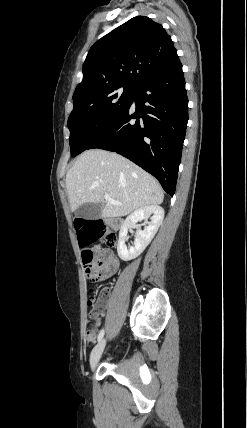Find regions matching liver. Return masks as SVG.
<instances>
[{
  "label": "liver",
  "instance_id": "1",
  "mask_svg": "<svg viewBox=\"0 0 247 428\" xmlns=\"http://www.w3.org/2000/svg\"><path fill=\"white\" fill-rule=\"evenodd\" d=\"M66 188L72 211L85 203H101L103 218L126 216L164 199L153 176L123 156L101 149L87 150L77 158L67 172ZM105 194L122 205L105 202Z\"/></svg>",
  "mask_w": 247,
  "mask_h": 428
}]
</instances>
